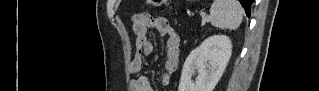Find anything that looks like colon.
Wrapping results in <instances>:
<instances>
[{
  "instance_id": "5ec220e1",
  "label": "colon",
  "mask_w": 319,
  "mask_h": 91,
  "mask_svg": "<svg viewBox=\"0 0 319 91\" xmlns=\"http://www.w3.org/2000/svg\"><path fill=\"white\" fill-rule=\"evenodd\" d=\"M147 3L155 7H161L167 5L168 2L166 0H147Z\"/></svg>"
}]
</instances>
